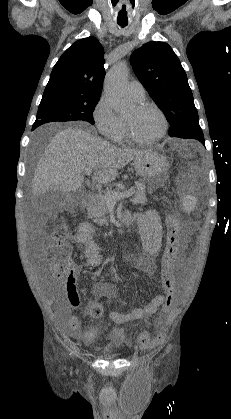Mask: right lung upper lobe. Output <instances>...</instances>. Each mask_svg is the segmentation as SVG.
I'll use <instances>...</instances> for the list:
<instances>
[{
    "label": "right lung upper lobe",
    "instance_id": "cb5924a9",
    "mask_svg": "<svg viewBox=\"0 0 231 419\" xmlns=\"http://www.w3.org/2000/svg\"><path fill=\"white\" fill-rule=\"evenodd\" d=\"M103 55V47L95 37L76 41L55 64L46 88L101 94L105 76Z\"/></svg>",
    "mask_w": 231,
    "mask_h": 419
}]
</instances>
